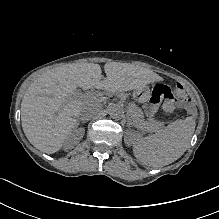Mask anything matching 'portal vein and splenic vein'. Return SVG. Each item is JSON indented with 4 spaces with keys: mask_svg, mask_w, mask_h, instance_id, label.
I'll return each mask as SVG.
<instances>
[{
    "mask_svg": "<svg viewBox=\"0 0 219 219\" xmlns=\"http://www.w3.org/2000/svg\"><path fill=\"white\" fill-rule=\"evenodd\" d=\"M90 95H91V93H86V94L80 95V97H81L82 99H86V98L90 97Z\"/></svg>",
    "mask_w": 219,
    "mask_h": 219,
    "instance_id": "portal-vein-and-splenic-vein-1",
    "label": "portal vein and splenic vein"
}]
</instances>
